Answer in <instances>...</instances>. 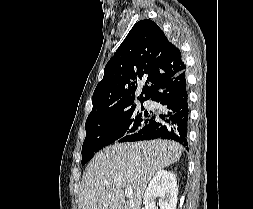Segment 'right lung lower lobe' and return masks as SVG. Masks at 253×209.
I'll return each mask as SVG.
<instances>
[{"label": "right lung lower lobe", "mask_w": 253, "mask_h": 209, "mask_svg": "<svg viewBox=\"0 0 253 209\" xmlns=\"http://www.w3.org/2000/svg\"><path fill=\"white\" fill-rule=\"evenodd\" d=\"M162 106V114H152L147 124L125 142L168 139L188 150V95L185 71L169 79L151 98Z\"/></svg>", "instance_id": "1"}]
</instances>
